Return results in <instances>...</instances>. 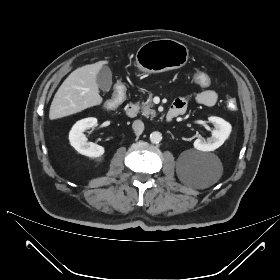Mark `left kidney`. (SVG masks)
I'll use <instances>...</instances> for the list:
<instances>
[{
    "label": "left kidney",
    "instance_id": "1",
    "mask_svg": "<svg viewBox=\"0 0 280 280\" xmlns=\"http://www.w3.org/2000/svg\"><path fill=\"white\" fill-rule=\"evenodd\" d=\"M208 120L214 126L212 136L206 140L198 138L193 144L195 149L203 152L214 151L223 145L232 130L231 124L220 117L211 116Z\"/></svg>",
    "mask_w": 280,
    "mask_h": 280
}]
</instances>
